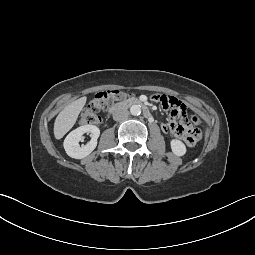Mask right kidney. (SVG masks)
Segmentation results:
<instances>
[{"label": "right kidney", "instance_id": "1", "mask_svg": "<svg viewBox=\"0 0 255 255\" xmlns=\"http://www.w3.org/2000/svg\"><path fill=\"white\" fill-rule=\"evenodd\" d=\"M85 133H90L91 140L85 145H79L81 137ZM100 130L95 125H83L71 131L64 140V149L68 156L75 159H82L88 156L97 146V139Z\"/></svg>", "mask_w": 255, "mask_h": 255}]
</instances>
